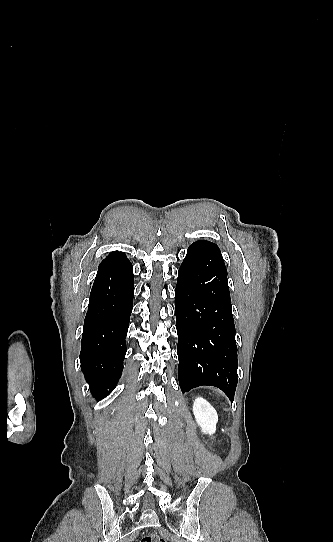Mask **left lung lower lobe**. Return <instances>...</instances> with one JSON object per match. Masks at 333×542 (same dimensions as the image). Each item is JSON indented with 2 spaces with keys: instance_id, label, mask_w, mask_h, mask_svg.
I'll list each match as a JSON object with an SVG mask.
<instances>
[{
  "instance_id": "1",
  "label": "left lung lower lobe",
  "mask_w": 333,
  "mask_h": 542,
  "mask_svg": "<svg viewBox=\"0 0 333 542\" xmlns=\"http://www.w3.org/2000/svg\"><path fill=\"white\" fill-rule=\"evenodd\" d=\"M175 297L182 393L209 385L233 401L238 368L235 325L227 269L216 244L199 240L189 246Z\"/></svg>"
}]
</instances>
